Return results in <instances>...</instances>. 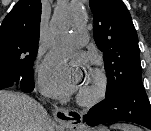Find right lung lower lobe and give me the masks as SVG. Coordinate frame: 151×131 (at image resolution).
<instances>
[{"mask_svg": "<svg viewBox=\"0 0 151 131\" xmlns=\"http://www.w3.org/2000/svg\"><path fill=\"white\" fill-rule=\"evenodd\" d=\"M18 87L21 88L25 93L32 92L34 89L33 76L25 80L22 79ZM4 88H12V87L6 78L0 77V89H4Z\"/></svg>", "mask_w": 151, "mask_h": 131, "instance_id": "obj_1", "label": "right lung lower lobe"}]
</instances>
